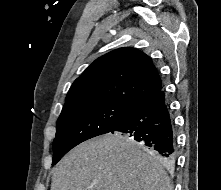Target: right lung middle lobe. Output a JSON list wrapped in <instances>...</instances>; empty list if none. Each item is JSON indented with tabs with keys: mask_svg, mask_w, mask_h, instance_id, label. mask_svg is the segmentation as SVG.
<instances>
[{
	"mask_svg": "<svg viewBox=\"0 0 221 190\" xmlns=\"http://www.w3.org/2000/svg\"><path fill=\"white\" fill-rule=\"evenodd\" d=\"M133 107L116 101H96L63 107L53 142V163L92 137L112 132Z\"/></svg>",
	"mask_w": 221,
	"mask_h": 190,
	"instance_id": "1",
	"label": "right lung middle lobe"
}]
</instances>
